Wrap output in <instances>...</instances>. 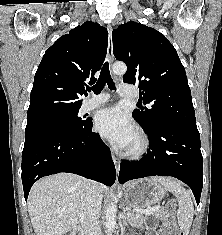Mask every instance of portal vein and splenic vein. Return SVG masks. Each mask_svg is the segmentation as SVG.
Masks as SVG:
<instances>
[{"instance_id":"1","label":"portal vein and splenic vein","mask_w":222,"mask_h":235,"mask_svg":"<svg viewBox=\"0 0 222 235\" xmlns=\"http://www.w3.org/2000/svg\"><path fill=\"white\" fill-rule=\"evenodd\" d=\"M159 209H160V206H153V207L146 209V210H138V212L143 213V214H152Z\"/></svg>"}]
</instances>
